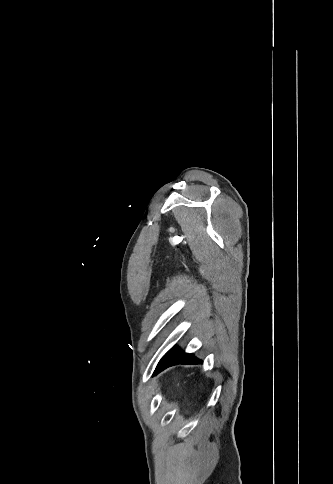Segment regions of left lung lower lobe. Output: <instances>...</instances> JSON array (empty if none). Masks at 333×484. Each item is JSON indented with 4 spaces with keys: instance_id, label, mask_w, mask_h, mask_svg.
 <instances>
[{
    "instance_id": "obj_1",
    "label": "left lung lower lobe",
    "mask_w": 333,
    "mask_h": 484,
    "mask_svg": "<svg viewBox=\"0 0 333 484\" xmlns=\"http://www.w3.org/2000/svg\"><path fill=\"white\" fill-rule=\"evenodd\" d=\"M199 359L195 358L192 354L184 353L177 347L170 349L158 363L155 373L166 369L169 366L175 364H197L201 363Z\"/></svg>"
}]
</instances>
